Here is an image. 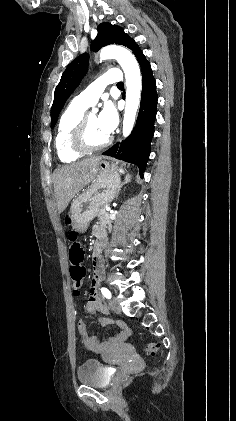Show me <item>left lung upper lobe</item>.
<instances>
[{"label": "left lung upper lobe", "mask_w": 236, "mask_h": 421, "mask_svg": "<svg viewBox=\"0 0 236 421\" xmlns=\"http://www.w3.org/2000/svg\"><path fill=\"white\" fill-rule=\"evenodd\" d=\"M110 44L123 45L132 51L138 46L121 27L103 22L98 26V34L91 44V49L96 52L100 48ZM88 61V54H82L74 59L62 74L54 93V101L51 108V128L55 126L59 113L67 98L76 89L86 74Z\"/></svg>", "instance_id": "obj_1"}]
</instances>
